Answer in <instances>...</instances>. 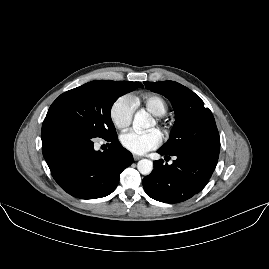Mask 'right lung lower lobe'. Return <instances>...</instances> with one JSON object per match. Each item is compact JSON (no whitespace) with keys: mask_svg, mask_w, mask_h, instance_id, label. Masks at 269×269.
<instances>
[{"mask_svg":"<svg viewBox=\"0 0 269 269\" xmlns=\"http://www.w3.org/2000/svg\"><path fill=\"white\" fill-rule=\"evenodd\" d=\"M43 156L58 185L81 199L112 193L120 173L133 162L132 154L116 139L107 151H95L92 139L71 123L46 117L41 131Z\"/></svg>","mask_w":269,"mask_h":269,"instance_id":"obj_1","label":"right lung lower lobe"}]
</instances>
